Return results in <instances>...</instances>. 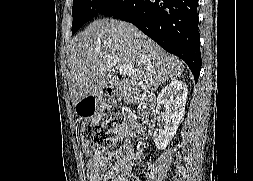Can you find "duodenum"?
Returning <instances> with one entry per match:
<instances>
[{"label": "duodenum", "instance_id": "1", "mask_svg": "<svg viewBox=\"0 0 253 181\" xmlns=\"http://www.w3.org/2000/svg\"><path fill=\"white\" fill-rule=\"evenodd\" d=\"M109 96L111 99H122L124 96L123 92H120L115 89L108 90ZM155 104L156 101L151 96H144L140 101L141 109V118L148 129H152L156 123V114H155Z\"/></svg>", "mask_w": 253, "mask_h": 181}]
</instances>
